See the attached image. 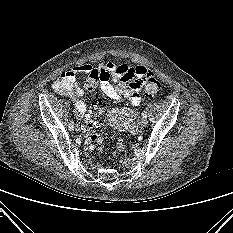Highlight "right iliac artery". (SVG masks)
Segmentation results:
<instances>
[{"instance_id": "82829eb1", "label": "right iliac artery", "mask_w": 233, "mask_h": 233, "mask_svg": "<svg viewBox=\"0 0 233 233\" xmlns=\"http://www.w3.org/2000/svg\"><path fill=\"white\" fill-rule=\"evenodd\" d=\"M70 131H73L74 130V124L73 122H70L69 125H68Z\"/></svg>"}]
</instances>
